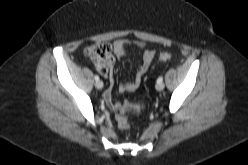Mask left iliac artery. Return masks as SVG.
I'll return each instance as SVG.
<instances>
[{"label":"left iliac artery","instance_id":"obj_1","mask_svg":"<svg viewBox=\"0 0 248 165\" xmlns=\"http://www.w3.org/2000/svg\"><path fill=\"white\" fill-rule=\"evenodd\" d=\"M163 81V77L160 76L158 79H157V82H162Z\"/></svg>","mask_w":248,"mask_h":165}]
</instances>
